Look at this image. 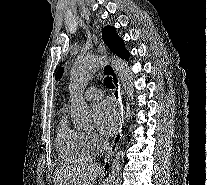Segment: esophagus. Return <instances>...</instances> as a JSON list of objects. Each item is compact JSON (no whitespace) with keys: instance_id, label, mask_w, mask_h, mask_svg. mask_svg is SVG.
<instances>
[{"instance_id":"34e87169","label":"esophagus","mask_w":207,"mask_h":185,"mask_svg":"<svg viewBox=\"0 0 207 185\" xmlns=\"http://www.w3.org/2000/svg\"><path fill=\"white\" fill-rule=\"evenodd\" d=\"M103 54H106V51H103ZM105 60H108V57H105ZM103 71L111 77V80L114 85L113 90V97L117 100L119 106V110H117V118H118V131H116V134L114 136V139L111 143V146L108 150V154L105 160H102V167H101V173H108L107 164H111V158L114 157L115 152L118 149L120 140L122 136H125V131H122V128H125L126 124V106H122L121 101V94H120V79L116 72V68L110 65V63H107V66L103 68Z\"/></svg>"}]
</instances>
